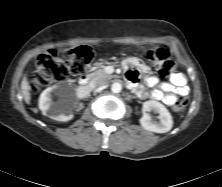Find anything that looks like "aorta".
I'll return each mask as SVG.
<instances>
[{
  "instance_id": "762f6f07",
  "label": "aorta",
  "mask_w": 222,
  "mask_h": 187,
  "mask_svg": "<svg viewBox=\"0 0 222 187\" xmlns=\"http://www.w3.org/2000/svg\"><path fill=\"white\" fill-rule=\"evenodd\" d=\"M122 90V85L118 82H114L112 85H111V91L113 93H119L121 92Z\"/></svg>"
}]
</instances>
